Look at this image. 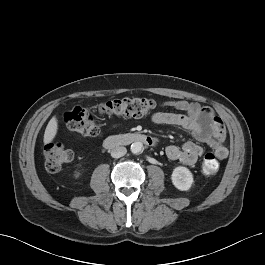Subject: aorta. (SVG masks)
<instances>
[{
	"label": "aorta",
	"mask_w": 265,
	"mask_h": 265,
	"mask_svg": "<svg viewBox=\"0 0 265 265\" xmlns=\"http://www.w3.org/2000/svg\"><path fill=\"white\" fill-rule=\"evenodd\" d=\"M130 150L133 154H140L143 152L144 147H143V143L142 142H133L131 144Z\"/></svg>",
	"instance_id": "1"
}]
</instances>
